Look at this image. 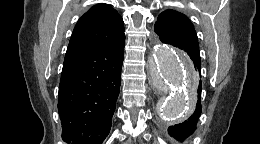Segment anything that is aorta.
Segmentation results:
<instances>
[{
    "label": "aorta",
    "instance_id": "1",
    "mask_svg": "<svg viewBox=\"0 0 260 144\" xmlns=\"http://www.w3.org/2000/svg\"><path fill=\"white\" fill-rule=\"evenodd\" d=\"M151 60L153 85L170 92L158 103L163 117L172 118L187 113L188 89L193 74L188 56L170 45L159 43L153 50Z\"/></svg>",
    "mask_w": 260,
    "mask_h": 144
}]
</instances>
